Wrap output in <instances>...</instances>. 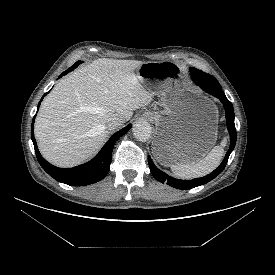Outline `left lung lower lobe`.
I'll return each mask as SVG.
<instances>
[{
  "instance_id": "1",
  "label": "left lung lower lobe",
  "mask_w": 275,
  "mask_h": 275,
  "mask_svg": "<svg viewBox=\"0 0 275 275\" xmlns=\"http://www.w3.org/2000/svg\"><path fill=\"white\" fill-rule=\"evenodd\" d=\"M190 74L192 80L196 83V85L200 86L204 91L207 93L217 97L222 102L225 108V117L227 122V128L230 134V147L227 151L224 160L222 163L210 174L205 177L197 178L193 180H179L168 176L166 173L160 171L153 163L152 159L148 157V163L150 167V171L153 176L160 181L161 183H167L168 185L181 189V190H188L195 188L197 186L203 185L216 176H218L225 168L226 163L228 161L229 155L233 151L235 144H236V128L234 124V110L231 102L226 98L224 92L221 88H217L215 86V78L209 74H206L196 68H190Z\"/></svg>"
}]
</instances>
